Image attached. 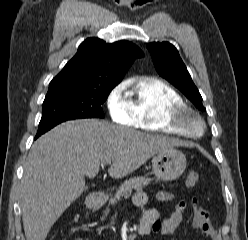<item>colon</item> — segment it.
Here are the masks:
<instances>
[{
    "label": "colon",
    "instance_id": "5ec220e1",
    "mask_svg": "<svg viewBox=\"0 0 248 240\" xmlns=\"http://www.w3.org/2000/svg\"><path fill=\"white\" fill-rule=\"evenodd\" d=\"M199 176L196 172H190L186 178L187 187H193L198 182Z\"/></svg>",
    "mask_w": 248,
    "mask_h": 240
}]
</instances>
